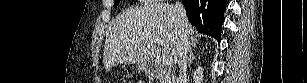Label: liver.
Instances as JSON below:
<instances>
[{
  "instance_id": "1",
  "label": "liver",
  "mask_w": 307,
  "mask_h": 83,
  "mask_svg": "<svg viewBox=\"0 0 307 83\" xmlns=\"http://www.w3.org/2000/svg\"><path fill=\"white\" fill-rule=\"evenodd\" d=\"M179 23L174 6L170 4H148L119 14L107 32L103 55L105 68L119 63L145 67L158 52L156 39L161 42L162 55L177 62ZM187 35L196 46L199 35L190 24Z\"/></svg>"
}]
</instances>
